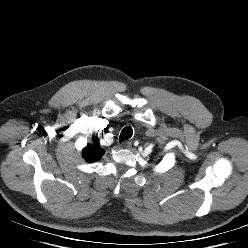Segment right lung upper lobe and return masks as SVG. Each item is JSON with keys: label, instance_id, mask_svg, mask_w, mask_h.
I'll return each instance as SVG.
<instances>
[{"label": "right lung upper lobe", "instance_id": "obj_1", "mask_svg": "<svg viewBox=\"0 0 248 248\" xmlns=\"http://www.w3.org/2000/svg\"><path fill=\"white\" fill-rule=\"evenodd\" d=\"M98 145L99 139L97 137H94L93 144H88L87 147L83 149L82 153L86 161H98L102 157V155L104 154V150H102Z\"/></svg>", "mask_w": 248, "mask_h": 248}]
</instances>
